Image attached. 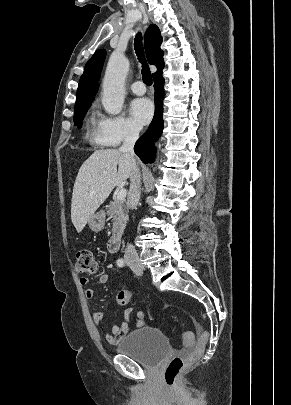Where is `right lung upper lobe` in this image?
Masks as SVG:
<instances>
[{"label": "right lung upper lobe", "instance_id": "cb5924a9", "mask_svg": "<svg viewBox=\"0 0 291 405\" xmlns=\"http://www.w3.org/2000/svg\"><path fill=\"white\" fill-rule=\"evenodd\" d=\"M162 37L159 28L151 24L144 35V47L149 64L155 65L157 71L153 76L161 74L164 68L163 51L160 49ZM106 51H96L87 62L77 89L75 111L89 108L99 88V78L102 71Z\"/></svg>", "mask_w": 291, "mask_h": 405}]
</instances>
